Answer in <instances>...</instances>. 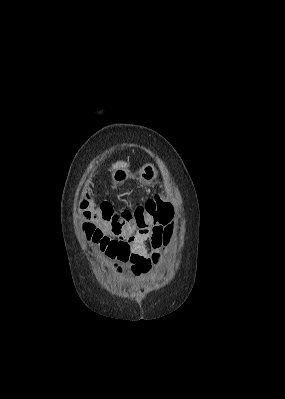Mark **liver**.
<instances>
[{
    "label": "liver",
    "instance_id": "liver-1",
    "mask_svg": "<svg viewBox=\"0 0 285 399\" xmlns=\"http://www.w3.org/2000/svg\"><path fill=\"white\" fill-rule=\"evenodd\" d=\"M128 164L126 162L123 161H118L115 164L112 165V170L118 169V168H125L127 167Z\"/></svg>",
    "mask_w": 285,
    "mask_h": 399
}]
</instances>
